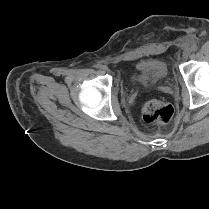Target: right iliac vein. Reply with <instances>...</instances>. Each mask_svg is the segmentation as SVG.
<instances>
[{"mask_svg":"<svg viewBox=\"0 0 209 209\" xmlns=\"http://www.w3.org/2000/svg\"><path fill=\"white\" fill-rule=\"evenodd\" d=\"M102 69H103V71H109L107 66H103Z\"/></svg>","mask_w":209,"mask_h":209,"instance_id":"obj_1","label":"right iliac vein"}]
</instances>
